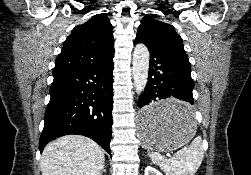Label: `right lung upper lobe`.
Masks as SVG:
<instances>
[{
  "label": "right lung upper lobe",
  "instance_id": "cb5924a9",
  "mask_svg": "<svg viewBox=\"0 0 251 175\" xmlns=\"http://www.w3.org/2000/svg\"><path fill=\"white\" fill-rule=\"evenodd\" d=\"M114 56L113 29L107 14H96L76 26L57 56L53 76L103 66Z\"/></svg>",
  "mask_w": 251,
  "mask_h": 175
}]
</instances>
